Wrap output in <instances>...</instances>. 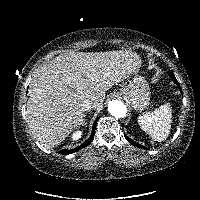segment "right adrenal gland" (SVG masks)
<instances>
[{
    "label": "right adrenal gland",
    "mask_w": 200,
    "mask_h": 200,
    "mask_svg": "<svg viewBox=\"0 0 200 200\" xmlns=\"http://www.w3.org/2000/svg\"><path fill=\"white\" fill-rule=\"evenodd\" d=\"M84 125H86V123L83 121V122H82V126H84Z\"/></svg>",
    "instance_id": "right-adrenal-gland-1"
}]
</instances>
